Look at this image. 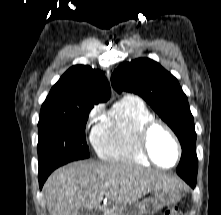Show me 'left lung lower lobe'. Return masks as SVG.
<instances>
[{
  "instance_id": "0a47b994",
  "label": "left lung lower lobe",
  "mask_w": 221,
  "mask_h": 215,
  "mask_svg": "<svg viewBox=\"0 0 221 215\" xmlns=\"http://www.w3.org/2000/svg\"><path fill=\"white\" fill-rule=\"evenodd\" d=\"M183 178L192 188L196 185V177H190V176H180Z\"/></svg>"
}]
</instances>
